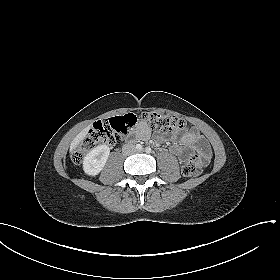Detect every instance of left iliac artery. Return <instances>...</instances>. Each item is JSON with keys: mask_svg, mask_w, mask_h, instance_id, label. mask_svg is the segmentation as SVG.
I'll return each instance as SVG.
<instances>
[{"mask_svg": "<svg viewBox=\"0 0 280 280\" xmlns=\"http://www.w3.org/2000/svg\"><path fill=\"white\" fill-rule=\"evenodd\" d=\"M145 151H146L147 153H150V152H151V148H150V147H146V148H145Z\"/></svg>", "mask_w": 280, "mask_h": 280, "instance_id": "obj_1", "label": "left iliac artery"}]
</instances>
